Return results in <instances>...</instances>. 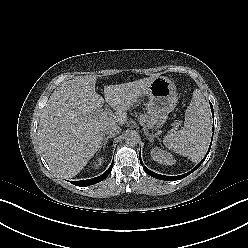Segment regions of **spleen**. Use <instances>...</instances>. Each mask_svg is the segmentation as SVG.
Instances as JSON below:
<instances>
[{"mask_svg": "<svg viewBox=\"0 0 248 248\" xmlns=\"http://www.w3.org/2000/svg\"><path fill=\"white\" fill-rule=\"evenodd\" d=\"M210 138L209 107L201 91L196 89L186 110L183 127L167 134L163 144L173 152L189 157L192 162H198L205 155Z\"/></svg>", "mask_w": 248, "mask_h": 248, "instance_id": "3e777b00", "label": "spleen"}]
</instances>
